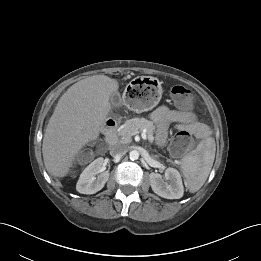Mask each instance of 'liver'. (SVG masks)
Masks as SVG:
<instances>
[{
  "label": "liver",
  "mask_w": 261,
  "mask_h": 261,
  "mask_svg": "<svg viewBox=\"0 0 261 261\" xmlns=\"http://www.w3.org/2000/svg\"><path fill=\"white\" fill-rule=\"evenodd\" d=\"M117 80L95 75L73 84L59 99L45 129L42 154L47 172L66 176L75 157L98 138L110 112V97L118 93Z\"/></svg>",
  "instance_id": "1"
}]
</instances>
